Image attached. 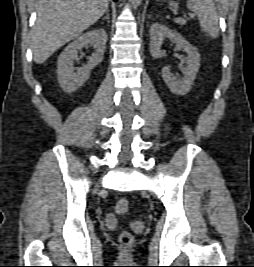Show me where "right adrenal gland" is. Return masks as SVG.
Masks as SVG:
<instances>
[{
  "mask_svg": "<svg viewBox=\"0 0 254 267\" xmlns=\"http://www.w3.org/2000/svg\"><path fill=\"white\" fill-rule=\"evenodd\" d=\"M105 19H107L108 22H110L109 10L106 11V16H104V17L102 18V20H105Z\"/></svg>",
  "mask_w": 254,
  "mask_h": 267,
  "instance_id": "right-adrenal-gland-1",
  "label": "right adrenal gland"
}]
</instances>
